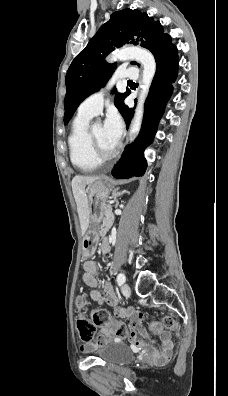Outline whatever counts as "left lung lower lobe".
<instances>
[{
    "label": "left lung lower lobe",
    "instance_id": "1",
    "mask_svg": "<svg viewBox=\"0 0 228 396\" xmlns=\"http://www.w3.org/2000/svg\"><path fill=\"white\" fill-rule=\"evenodd\" d=\"M171 41V37L164 33L155 38L147 48L155 57L157 70L145 102L140 134L133 144L125 148L121 160L114 166L112 175L115 178L140 177L145 173L147 162L143 152L154 139L159 120L173 90L172 83L178 73L177 48ZM120 113L128 128L134 113L133 109L124 105Z\"/></svg>",
    "mask_w": 228,
    "mask_h": 396
}]
</instances>
